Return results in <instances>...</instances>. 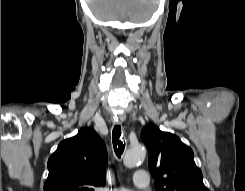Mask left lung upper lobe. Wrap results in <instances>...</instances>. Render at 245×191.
<instances>
[{
    "instance_id": "1",
    "label": "left lung upper lobe",
    "mask_w": 245,
    "mask_h": 191,
    "mask_svg": "<svg viewBox=\"0 0 245 191\" xmlns=\"http://www.w3.org/2000/svg\"><path fill=\"white\" fill-rule=\"evenodd\" d=\"M157 191H209L194 153L178 136L148 125L141 132Z\"/></svg>"
}]
</instances>
